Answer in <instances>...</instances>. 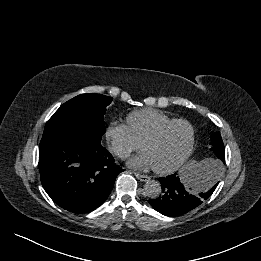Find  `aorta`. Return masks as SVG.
Segmentation results:
<instances>
[{
	"label": "aorta",
	"mask_w": 261,
	"mask_h": 261,
	"mask_svg": "<svg viewBox=\"0 0 261 261\" xmlns=\"http://www.w3.org/2000/svg\"><path fill=\"white\" fill-rule=\"evenodd\" d=\"M144 192L150 198H157L161 193V184L155 180H148L144 185Z\"/></svg>",
	"instance_id": "aorta-1"
}]
</instances>
